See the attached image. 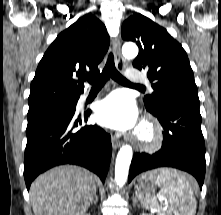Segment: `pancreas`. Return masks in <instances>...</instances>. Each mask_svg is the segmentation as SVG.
<instances>
[{
	"label": "pancreas",
	"instance_id": "cf45deb5",
	"mask_svg": "<svg viewBox=\"0 0 221 215\" xmlns=\"http://www.w3.org/2000/svg\"><path fill=\"white\" fill-rule=\"evenodd\" d=\"M158 215H171V212L168 210H159Z\"/></svg>",
	"mask_w": 221,
	"mask_h": 215
}]
</instances>
